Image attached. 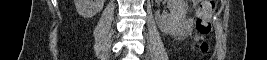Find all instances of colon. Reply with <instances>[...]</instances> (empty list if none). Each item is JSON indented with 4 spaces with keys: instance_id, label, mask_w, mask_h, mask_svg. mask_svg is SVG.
Returning a JSON list of instances; mask_svg holds the SVG:
<instances>
[{
    "instance_id": "colon-1",
    "label": "colon",
    "mask_w": 267,
    "mask_h": 60,
    "mask_svg": "<svg viewBox=\"0 0 267 60\" xmlns=\"http://www.w3.org/2000/svg\"><path fill=\"white\" fill-rule=\"evenodd\" d=\"M214 0H201L198 2L199 6L196 9V39L195 48L201 53H206L209 49L207 38L212 30V16L215 11Z\"/></svg>"
}]
</instances>
